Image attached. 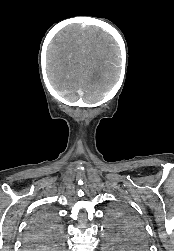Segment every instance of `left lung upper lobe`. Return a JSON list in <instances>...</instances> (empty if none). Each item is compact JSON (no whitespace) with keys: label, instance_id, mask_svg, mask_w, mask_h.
<instances>
[{"label":"left lung upper lobe","instance_id":"obj_1","mask_svg":"<svg viewBox=\"0 0 174 251\" xmlns=\"http://www.w3.org/2000/svg\"><path fill=\"white\" fill-rule=\"evenodd\" d=\"M109 230L115 240L125 239L132 247L145 250L147 239L143 226L128 207L118 205L109 211Z\"/></svg>","mask_w":174,"mask_h":251}]
</instances>
